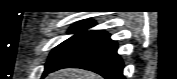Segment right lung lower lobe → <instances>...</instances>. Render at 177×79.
Returning a JSON list of instances; mask_svg holds the SVG:
<instances>
[{"mask_svg": "<svg viewBox=\"0 0 177 79\" xmlns=\"http://www.w3.org/2000/svg\"><path fill=\"white\" fill-rule=\"evenodd\" d=\"M68 67L91 70L106 79H124L123 62L117 54V44L103 30L94 31L46 74Z\"/></svg>", "mask_w": 177, "mask_h": 79, "instance_id": "98d812e1", "label": "right lung lower lobe"}]
</instances>
